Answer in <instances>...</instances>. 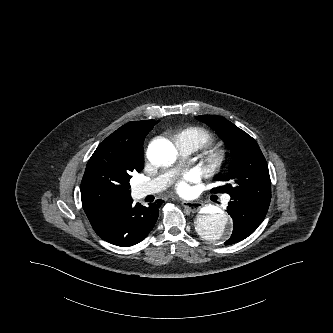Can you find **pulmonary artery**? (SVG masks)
Returning a JSON list of instances; mask_svg holds the SVG:
<instances>
[{
  "label": "pulmonary artery",
  "instance_id": "e3ab8cb5",
  "mask_svg": "<svg viewBox=\"0 0 333 333\" xmlns=\"http://www.w3.org/2000/svg\"><path fill=\"white\" fill-rule=\"evenodd\" d=\"M176 145L182 156L190 155L199 147L198 143H196L194 140L181 138H177ZM170 175V173L163 174L151 181L139 184L135 188L136 195L141 198L146 195L159 192L166 186ZM225 201L228 202L229 197H226Z\"/></svg>",
  "mask_w": 333,
  "mask_h": 333
}]
</instances>
